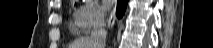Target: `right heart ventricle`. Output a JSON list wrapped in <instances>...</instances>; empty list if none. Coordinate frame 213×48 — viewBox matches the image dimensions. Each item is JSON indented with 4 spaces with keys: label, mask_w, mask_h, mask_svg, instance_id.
I'll list each match as a JSON object with an SVG mask.
<instances>
[{
    "label": "right heart ventricle",
    "mask_w": 213,
    "mask_h": 48,
    "mask_svg": "<svg viewBox=\"0 0 213 48\" xmlns=\"http://www.w3.org/2000/svg\"><path fill=\"white\" fill-rule=\"evenodd\" d=\"M75 25L74 24H70V28L74 29Z\"/></svg>",
    "instance_id": "right-heart-ventricle-1"
}]
</instances>
